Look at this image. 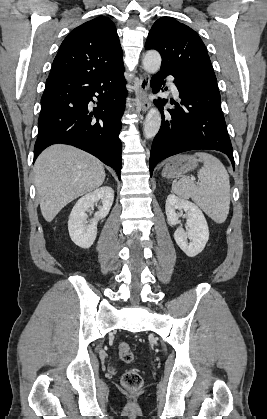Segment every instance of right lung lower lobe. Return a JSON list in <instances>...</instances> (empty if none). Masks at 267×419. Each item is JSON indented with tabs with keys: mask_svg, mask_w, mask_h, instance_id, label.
<instances>
[{
	"mask_svg": "<svg viewBox=\"0 0 267 419\" xmlns=\"http://www.w3.org/2000/svg\"><path fill=\"white\" fill-rule=\"evenodd\" d=\"M123 73L122 65L109 72L48 78L41 98L34 160L52 144H69L96 156L120 178L118 136L127 94ZM94 96L99 102L92 109L89 102Z\"/></svg>",
	"mask_w": 267,
	"mask_h": 419,
	"instance_id": "right-lung-lower-lobe-1",
	"label": "right lung lower lobe"
}]
</instances>
